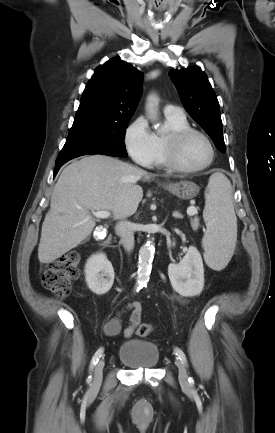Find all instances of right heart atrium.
<instances>
[{
    "mask_svg": "<svg viewBox=\"0 0 275 433\" xmlns=\"http://www.w3.org/2000/svg\"><path fill=\"white\" fill-rule=\"evenodd\" d=\"M124 143L135 163L143 167L153 165L156 143L145 117L139 116L128 125L124 133Z\"/></svg>",
    "mask_w": 275,
    "mask_h": 433,
    "instance_id": "1",
    "label": "right heart atrium"
}]
</instances>
